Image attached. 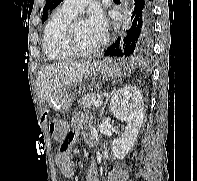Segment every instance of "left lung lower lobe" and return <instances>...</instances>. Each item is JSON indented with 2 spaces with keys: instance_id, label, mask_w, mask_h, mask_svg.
I'll use <instances>...</instances> for the list:
<instances>
[{
  "instance_id": "1",
  "label": "left lung lower lobe",
  "mask_w": 197,
  "mask_h": 181,
  "mask_svg": "<svg viewBox=\"0 0 197 181\" xmlns=\"http://www.w3.org/2000/svg\"><path fill=\"white\" fill-rule=\"evenodd\" d=\"M153 0H134L131 26L104 53L110 57L142 58L150 55L153 38Z\"/></svg>"
}]
</instances>
